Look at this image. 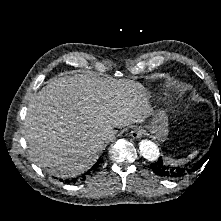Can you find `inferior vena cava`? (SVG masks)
Returning <instances> with one entry per match:
<instances>
[{
  "label": "inferior vena cava",
  "mask_w": 221,
  "mask_h": 221,
  "mask_svg": "<svg viewBox=\"0 0 221 221\" xmlns=\"http://www.w3.org/2000/svg\"><path fill=\"white\" fill-rule=\"evenodd\" d=\"M103 136L107 140H113L116 137V131L113 129L107 130L104 132Z\"/></svg>",
  "instance_id": "inferior-vena-cava-1"
}]
</instances>
